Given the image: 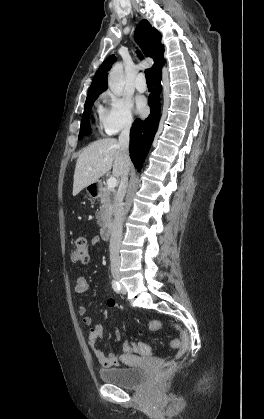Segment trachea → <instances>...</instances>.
Listing matches in <instances>:
<instances>
[{
    "label": "trachea",
    "mask_w": 264,
    "mask_h": 419,
    "mask_svg": "<svg viewBox=\"0 0 264 419\" xmlns=\"http://www.w3.org/2000/svg\"><path fill=\"white\" fill-rule=\"evenodd\" d=\"M138 53V57L142 58V54L137 51ZM145 76H146V81L148 85H152L153 84V80H152V74H151V70L150 69H146L145 70Z\"/></svg>",
    "instance_id": "trachea-1"
}]
</instances>
